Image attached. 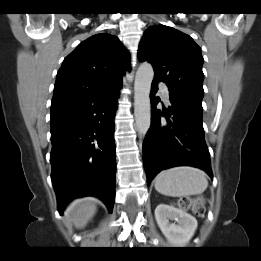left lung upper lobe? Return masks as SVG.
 Masks as SVG:
<instances>
[{"mask_svg": "<svg viewBox=\"0 0 261 261\" xmlns=\"http://www.w3.org/2000/svg\"><path fill=\"white\" fill-rule=\"evenodd\" d=\"M138 59L154 68L155 81L202 102L204 96L200 47L187 34L165 25L149 27L138 48Z\"/></svg>", "mask_w": 261, "mask_h": 261, "instance_id": "5c2ea615", "label": "left lung upper lobe"}]
</instances>
